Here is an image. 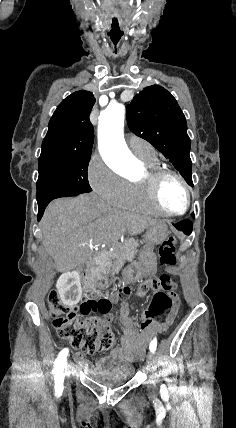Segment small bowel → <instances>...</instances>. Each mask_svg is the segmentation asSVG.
Returning <instances> with one entry per match:
<instances>
[{
	"mask_svg": "<svg viewBox=\"0 0 236 428\" xmlns=\"http://www.w3.org/2000/svg\"><path fill=\"white\" fill-rule=\"evenodd\" d=\"M119 322L122 329V337L120 345L111 351V359L125 362L141 360L151 337L156 331V326L153 324L140 325L134 318L129 316V310L126 306L121 310ZM76 359L84 369H93L94 366L86 358L84 352H78ZM99 363L104 365L106 360H101Z\"/></svg>",
	"mask_w": 236,
	"mask_h": 428,
	"instance_id": "obj_1",
	"label": "small bowel"
}]
</instances>
